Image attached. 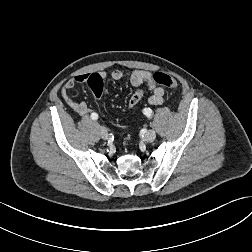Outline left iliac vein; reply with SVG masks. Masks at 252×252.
<instances>
[{
	"label": "left iliac vein",
	"instance_id": "1",
	"mask_svg": "<svg viewBox=\"0 0 252 252\" xmlns=\"http://www.w3.org/2000/svg\"><path fill=\"white\" fill-rule=\"evenodd\" d=\"M155 138H156V133H155V131H154V130H148V131L145 133V135H144V137H143V140H144L145 142H147V143H151V142H153V141L155 140Z\"/></svg>",
	"mask_w": 252,
	"mask_h": 252
}]
</instances>
